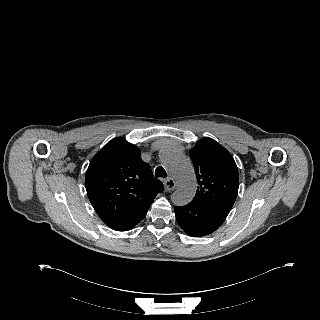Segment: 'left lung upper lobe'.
Returning <instances> with one entry per match:
<instances>
[{"mask_svg": "<svg viewBox=\"0 0 320 320\" xmlns=\"http://www.w3.org/2000/svg\"><path fill=\"white\" fill-rule=\"evenodd\" d=\"M198 190L193 201L229 212L238 194L239 175L231 154L211 138L190 150Z\"/></svg>", "mask_w": 320, "mask_h": 320, "instance_id": "obj_1", "label": "left lung upper lobe"}]
</instances>
